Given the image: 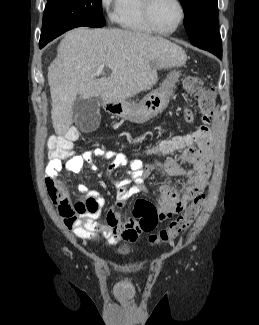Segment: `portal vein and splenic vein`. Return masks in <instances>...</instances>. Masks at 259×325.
<instances>
[{
    "label": "portal vein and splenic vein",
    "instance_id": "18ae733b",
    "mask_svg": "<svg viewBox=\"0 0 259 325\" xmlns=\"http://www.w3.org/2000/svg\"><path fill=\"white\" fill-rule=\"evenodd\" d=\"M103 69H104V64H101V65L98 67L97 71L94 73V75H95V76H99V75H101Z\"/></svg>",
    "mask_w": 259,
    "mask_h": 325
}]
</instances>
